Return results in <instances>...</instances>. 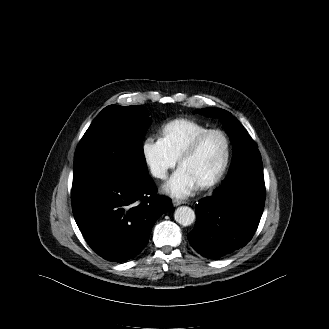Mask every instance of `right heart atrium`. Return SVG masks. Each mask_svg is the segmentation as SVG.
I'll return each instance as SVG.
<instances>
[{
  "label": "right heart atrium",
  "mask_w": 329,
  "mask_h": 329,
  "mask_svg": "<svg viewBox=\"0 0 329 329\" xmlns=\"http://www.w3.org/2000/svg\"><path fill=\"white\" fill-rule=\"evenodd\" d=\"M142 155L151 174L157 179L166 178L177 163L160 138L146 137L142 142Z\"/></svg>",
  "instance_id": "1"
}]
</instances>
